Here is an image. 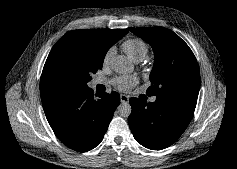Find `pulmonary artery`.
Returning a JSON list of instances; mask_svg holds the SVG:
<instances>
[{"mask_svg":"<svg viewBox=\"0 0 237 169\" xmlns=\"http://www.w3.org/2000/svg\"><path fill=\"white\" fill-rule=\"evenodd\" d=\"M100 83V80H95L94 81V85H97V84H99ZM151 102H154L155 101V98L153 97V98H151V100H150Z\"/></svg>","mask_w":237,"mask_h":169,"instance_id":"1","label":"pulmonary artery"}]
</instances>
